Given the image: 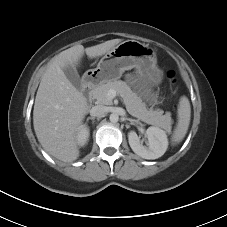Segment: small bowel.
<instances>
[{
  "instance_id": "1",
  "label": "small bowel",
  "mask_w": 227,
  "mask_h": 227,
  "mask_svg": "<svg viewBox=\"0 0 227 227\" xmlns=\"http://www.w3.org/2000/svg\"><path fill=\"white\" fill-rule=\"evenodd\" d=\"M127 80V88L133 89V93L136 94L140 100H143L144 104H147L148 106H153L154 100L159 99V94L156 91H153L152 88H148L146 81L140 79L138 74L128 75ZM134 85H138L141 88L134 87Z\"/></svg>"
}]
</instances>
